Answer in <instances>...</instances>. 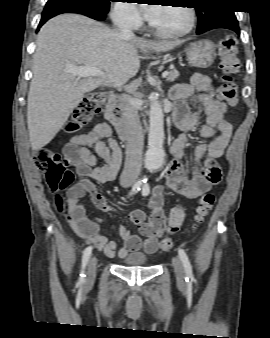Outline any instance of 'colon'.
Segmentation results:
<instances>
[{"label":"colon","instance_id":"obj_1","mask_svg":"<svg viewBox=\"0 0 270 338\" xmlns=\"http://www.w3.org/2000/svg\"><path fill=\"white\" fill-rule=\"evenodd\" d=\"M221 56L220 68L223 72V86L221 97L230 106L237 103L236 87L233 75L240 69L238 59V42L233 36H226L219 43ZM105 95L101 92H93L84 97L77 108L74 110L71 119L65 125L67 133H73L86 126L94 116L103 110ZM34 161L41 172L44 173L49 189L58 193L65 190L73 181L74 175L66 161H62L60 155L55 151L42 147L34 152ZM205 168L215 173L220 172L219 166L215 161H209ZM215 203V196L212 193L205 194L197 207L195 214V224L203 223L205 217L210 213ZM184 220V209L181 206L174 207L169 214L167 232L176 233ZM160 245L163 251H169L173 246L170 236L161 239Z\"/></svg>","mask_w":270,"mask_h":338}]
</instances>
